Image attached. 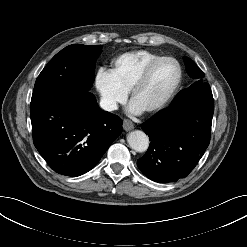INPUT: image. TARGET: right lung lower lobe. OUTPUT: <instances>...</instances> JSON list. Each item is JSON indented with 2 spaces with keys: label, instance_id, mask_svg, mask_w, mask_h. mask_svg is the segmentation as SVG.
Wrapping results in <instances>:
<instances>
[{
  "label": "right lung lower lobe",
  "instance_id": "98d812e1",
  "mask_svg": "<svg viewBox=\"0 0 247 247\" xmlns=\"http://www.w3.org/2000/svg\"><path fill=\"white\" fill-rule=\"evenodd\" d=\"M30 115L36 149L55 172L71 177L95 167L122 131V120L101 111L90 92L50 91L31 100Z\"/></svg>",
  "mask_w": 247,
  "mask_h": 247
}]
</instances>
